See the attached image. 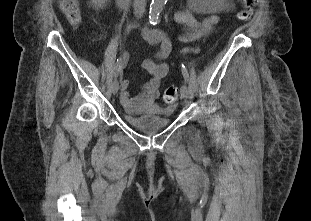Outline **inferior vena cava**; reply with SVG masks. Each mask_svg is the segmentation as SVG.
Instances as JSON below:
<instances>
[{
	"mask_svg": "<svg viewBox=\"0 0 311 221\" xmlns=\"http://www.w3.org/2000/svg\"><path fill=\"white\" fill-rule=\"evenodd\" d=\"M133 6L134 14H137V16H142V14L145 12L146 0H134Z\"/></svg>",
	"mask_w": 311,
	"mask_h": 221,
	"instance_id": "inferior-vena-cava-1",
	"label": "inferior vena cava"
}]
</instances>
